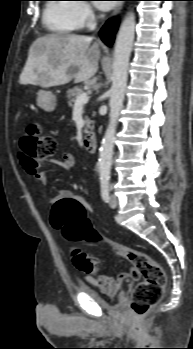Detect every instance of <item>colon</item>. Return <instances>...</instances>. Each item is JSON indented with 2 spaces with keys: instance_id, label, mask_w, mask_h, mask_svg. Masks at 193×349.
I'll return each mask as SVG.
<instances>
[{
  "instance_id": "5ec220e1",
  "label": "colon",
  "mask_w": 193,
  "mask_h": 349,
  "mask_svg": "<svg viewBox=\"0 0 193 349\" xmlns=\"http://www.w3.org/2000/svg\"><path fill=\"white\" fill-rule=\"evenodd\" d=\"M21 155L26 165L35 170L57 151L56 139L46 134L38 123H30L20 140ZM52 226L63 232L70 241L87 239L102 244L116 256L129 260L142 277L134 290L130 308L134 315L142 316L156 305L163 295L166 275L162 266L149 255L122 244L107 241L100 236L86 218L85 208L75 200H64L54 204L51 215ZM74 265L87 274L96 272L100 261L75 247L72 250Z\"/></svg>"
}]
</instances>
